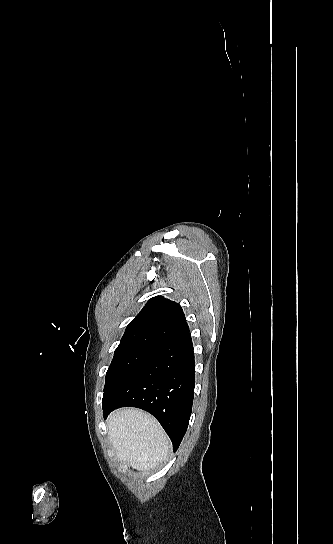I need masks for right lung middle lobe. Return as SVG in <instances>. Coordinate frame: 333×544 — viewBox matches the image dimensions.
Returning <instances> with one entry per match:
<instances>
[{
	"mask_svg": "<svg viewBox=\"0 0 333 544\" xmlns=\"http://www.w3.org/2000/svg\"><path fill=\"white\" fill-rule=\"evenodd\" d=\"M152 347L136 346L116 349L105 378L102 406L128 381L148 357Z\"/></svg>",
	"mask_w": 333,
	"mask_h": 544,
	"instance_id": "1",
	"label": "right lung middle lobe"
}]
</instances>
